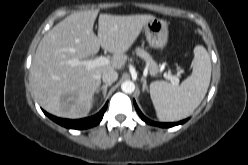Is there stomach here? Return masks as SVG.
Returning <instances> with one entry per match:
<instances>
[{
  "instance_id": "1",
  "label": "stomach",
  "mask_w": 248,
  "mask_h": 165,
  "mask_svg": "<svg viewBox=\"0 0 248 165\" xmlns=\"http://www.w3.org/2000/svg\"><path fill=\"white\" fill-rule=\"evenodd\" d=\"M144 33L149 46L155 49H163L168 42V26L161 19L154 18L144 26Z\"/></svg>"
}]
</instances>
